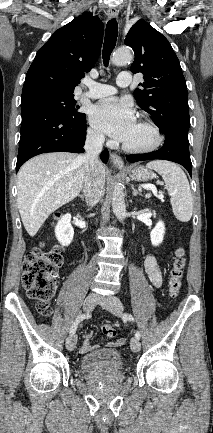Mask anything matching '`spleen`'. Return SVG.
Listing matches in <instances>:
<instances>
[{
	"instance_id": "spleen-1",
	"label": "spleen",
	"mask_w": 213,
	"mask_h": 433,
	"mask_svg": "<svg viewBox=\"0 0 213 433\" xmlns=\"http://www.w3.org/2000/svg\"><path fill=\"white\" fill-rule=\"evenodd\" d=\"M146 167L162 176L166 189L171 196V205L175 217L181 222H188L192 217L193 199L188 179L183 170L169 161H151Z\"/></svg>"
}]
</instances>
